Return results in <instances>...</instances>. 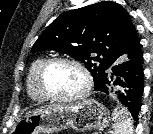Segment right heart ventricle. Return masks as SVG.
<instances>
[{
	"label": "right heart ventricle",
	"instance_id": "obj_1",
	"mask_svg": "<svg viewBox=\"0 0 153 134\" xmlns=\"http://www.w3.org/2000/svg\"><path fill=\"white\" fill-rule=\"evenodd\" d=\"M44 61V58H38L34 60L29 67L26 78L27 93L32 100L37 102L46 101V99L39 93L36 85L37 72Z\"/></svg>",
	"mask_w": 153,
	"mask_h": 134
}]
</instances>
